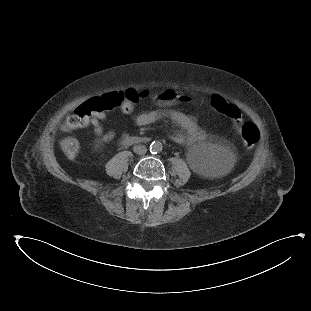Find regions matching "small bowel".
<instances>
[{"label": "small bowel", "instance_id": "c3829d8e", "mask_svg": "<svg viewBox=\"0 0 311 311\" xmlns=\"http://www.w3.org/2000/svg\"><path fill=\"white\" fill-rule=\"evenodd\" d=\"M176 99L177 97L174 100ZM104 119L105 113H98L91 117L88 123L92 127L93 135L101 139L104 143H108L113 139L114 133L103 132L101 122ZM162 119H170L182 129V132L170 136V139L178 145L190 146L206 139L205 131L197 124L192 116L174 109H158L142 112L136 117V122L138 125L146 126Z\"/></svg>", "mask_w": 311, "mask_h": 311}]
</instances>
